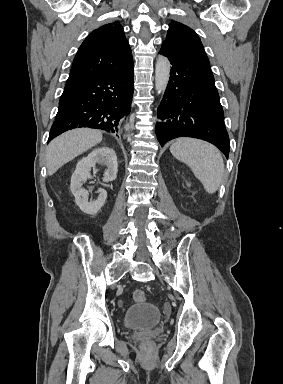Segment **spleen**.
Here are the masks:
<instances>
[{"label": "spleen", "instance_id": "1", "mask_svg": "<svg viewBox=\"0 0 283 384\" xmlns=\"http://www.w3.org/2000/svg\"><path fill=\"white\" fill-rule=\"evenodd\" d=\"M170 152L179 162L191 168L208 194H215L224 176V162L218 148L192 138H179L170 146Z\"/></svg>", "mask_w": 283, "mask_h": 384}]
</instances>
